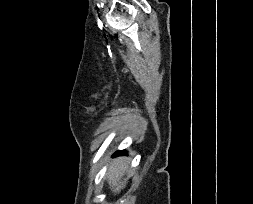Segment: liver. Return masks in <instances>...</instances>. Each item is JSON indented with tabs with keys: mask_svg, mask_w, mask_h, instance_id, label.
<instances>
[{
	"mask_svg": "<svg viewBox=\"0 0 253 204\" xmlns=\"http://www.w3.org/2000/svg\"><path fill=\"white\" fill-rule=\"evenodd\" d=\"M128 172V163L120 157L114 160L108 170V184L111 191L119 193L126 185V180L123 181V176Z\"/></svg>",
	"mask_w": 253,
	"mask_h": 204,
	"instance_id": "obj_1",
	"label": "liver"
}]
</instances>
